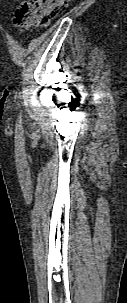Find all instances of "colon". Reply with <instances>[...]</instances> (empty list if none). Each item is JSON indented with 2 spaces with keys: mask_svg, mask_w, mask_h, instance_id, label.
I'll list each match as a JSON object with an SVG mask.
<instances>
[{
  "mask_svg": "<svg viewBox=\"0 0 127 303\" xmlns=\"http://www.w3.org/2000/svg\"><path fill=\"white\" fill-rule=\"evenodd\" d=\"M69 0H27L14 15V23L21 27L45 26L50 18L63 11Z\"/></svg>",
  "mask_w": 127,
  "mask_h": 303,
  "instance_id": "obj_1",
  "label": "colon"
}]
</instances>
